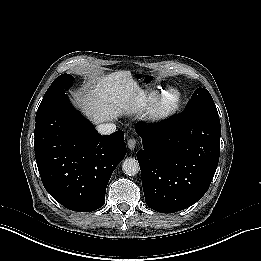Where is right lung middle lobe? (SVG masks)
I'll list each match as a JSON object with an SVG mask.
<instances>
[{
	"label": "right lung middle lobe",
	"mask_w": 261,
	"mask_h": 261,
	"mask_svg": "<svg viewBox=\"0 0 261 261\" xmlns=\"http://www.w3.org/2000/svg\"><path fill=\"white\" fill-rule=\"evenodd\" d=\"M73 80L74 78L70 74H62L57 77L46 91L37 110L36 116L43 112L50 104L62 97L64 90L70 87Z\"/></svg>",
	"instance_id": "1"
}]
</instances>
